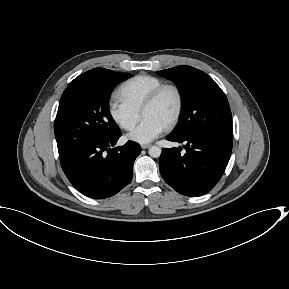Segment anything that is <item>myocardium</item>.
Returning a JSON list of instances; mask_svg holds the SVG:
<instances>
[{"instance_id": "obj_1", "label": "myocardium", "mask_w": 289, "mask_h": 289, "mask_svg": "<svg viewBox=\"0 0 289 289\" xmlns=\"http://www.w3.org/2000/svg\"><path fill=\"white\" fill-rule=\"evenodd\" d=\"M166 90H172L175 93L176 99H177L176 110H175L172 118L170 119V121L166 125V129L169 130V129L174 128L177 125V123L179 122L181 115H182V112H183V107H184L183 93L177 85L171 84V83H163L162 85H160L156 89H154L149 94V96L146 98V100L144 101V103L141 107V114H143V112L147 108H149L153 104H155L157 102V100L160 98V96L163 94V92Z\"/></svg>"}]
</instances>
